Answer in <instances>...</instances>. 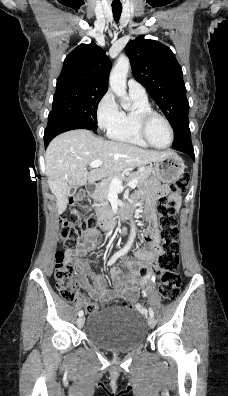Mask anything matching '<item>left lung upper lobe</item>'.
<instances>
[{
    "mask_svg": "<svg viewBox=\"0 0 228 396\" xmlns=\"http://www.w3.org/2000/svg\"><path fill=\"white\" fill-rule=\"evenodd\" d=\"M135 79L170 121L174 133L188 120L189 103L183 73L175 55L155 40L138 37L126 46Z\"/></svg>",
    "mask_w": 228,
    "mask_h": 396,
    "instance_id": "1",
    "label": "left lung upper lobe"
}]
</instances>
